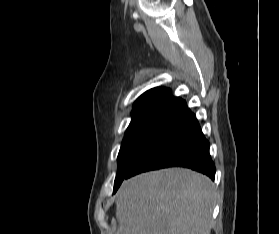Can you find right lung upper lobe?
<instances>
[{
    "instance_id": "right-lung-upper-lobe-1",
    "label": "right lung upper lobe",
    "mask_w": 279,
    "mask_h": 234,
    "mask_svg": "<svg viewBox=\"0 0 279 234\" xmlns=\"http://www.w3.org/2000/svg\"><path fill=\"white\" fill-rule=\"evenodd\" d=\"M181 101V98L171 95L170 89L157 87L142 94L134 103L132 112L165 107L173 108Z\"/></svg>"
}]
</instances>
